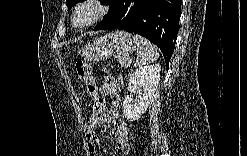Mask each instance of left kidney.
I'll return each instance as SVG.
<instances>
[{
  "label": "left kidney",
  "instance_id": "5707ae66",
  "mask_svg": "<svg viewBox=\"0 0 247 156\" xmlns=\"http://www.w3.org/2000/svg\"><path fill=\"white\" fill-rule=\"evenodd\" d=\"M160 71V64H153L130 74L127 88L130 94L123 101V114L129 121L139 119L147 110L159 83Z\"/></svg>",
  "mask_w": 247,
  "mask_h": 156
}]
</instances>
